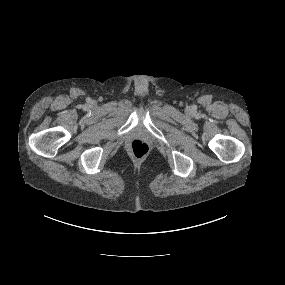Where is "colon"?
Returning <instances> with one entry per match:
<instances>
[{"instance_id":"obj_1","label":"colon","mask_w":285,"mask_h":285,"mask_svg":"<svg viewBox=\"0 0 285 285\" xmlns=\"http://www.w3.org/2000/svg\"><path fill=\"white\" fill-rule=\"evenodd\" d=\"M130 150L135 157L142 158L148 154L149 147L142 140H134L130 145Z\"/></svg>"}]
</instances>
